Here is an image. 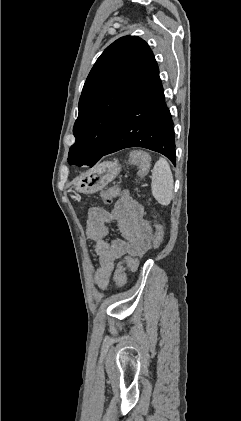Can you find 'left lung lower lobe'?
I'll use <instances>...</instances> for the list:
<instances>
[{"mask_svg":"<svg viewBox=\"0 0 241 421\" xmlns=\"http://www.w3.org/2000/svg\"><path fill=\"white\" fill-rule=\"evenodd\" d=\"M129 147L147 148L165 155L173 164L176 162L173 121L165 103L154 55L147 63L103 156ZM96 162L86 161L79 166H93Z\"/></svg>","mask_w":241,"mask_h":421,"instance_id":"left-lung-lower-lobe-1","label":"left lung lower lobe"}]
</instances>
